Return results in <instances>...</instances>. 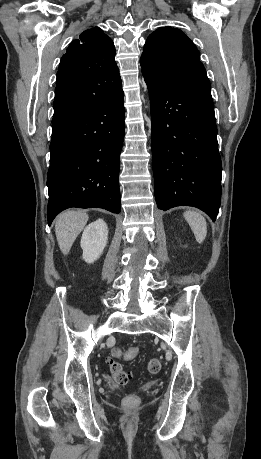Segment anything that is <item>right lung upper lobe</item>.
<instances>
[{
	"instance_id": "cb5924a9",
	"label": "right lung upper lobe",
	"mask_w": 261,
	"mask_h": 459,
	"mask_svg": "<svg viewBox=\"0 0 261 459\" xmlns=\"http://www.w3.org/2000/svg\"><path fill=\"white\" fill-rule=\"evenodd\" d=\"M114 58L113 41L98 27L70 44L57 73L52 128L98 106L122 87Z\"/></svg>"
}]
</instances>
